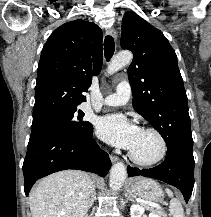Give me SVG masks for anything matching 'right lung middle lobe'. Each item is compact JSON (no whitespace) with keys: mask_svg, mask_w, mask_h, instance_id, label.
<instances>
[{"mask_svg":"<svg viewBox=\"0 0 211 217\" xmlns=\"http://www.w3.org/2000/svg\"><path fill=\"white\" fill-rule=\"evenodd\" d=\"M83 116L84 113L77 109L50 112L33 119L31 132L56 131L76 139H86L93 126L84 121Z\"/></svg>","mask_w":211,"mask_h":217,"instance_id":"dd1d6c3e","label":"right lung middle lobe"}]
</instances>
